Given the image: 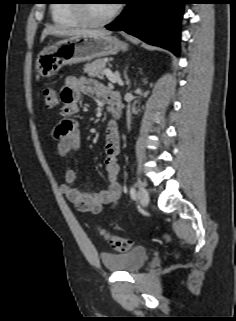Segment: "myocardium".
<instances>
[{"label":"myocardium","mask_w":236,"mask_h":321,"mask_svg":"<svg viewBox=\"0 0 236 321\" xmlns=\"http://www.w3.org/2000/svg\"><path fill=\"white\" fill-rule=\"evenodd\" d=\"M91 0H76L74 9L77 15L82 19L83 23L92 27H99L112 22L120 13L121 8L119 5L114 4L110 14L102 19H95L89 13V3Z\"/></svg>","instance_id":"obj_1"}]
</instances>
